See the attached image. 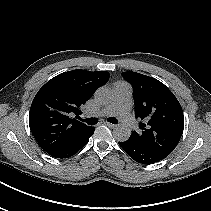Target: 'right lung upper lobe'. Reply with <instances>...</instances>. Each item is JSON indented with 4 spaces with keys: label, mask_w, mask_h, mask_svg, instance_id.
Listing matches in <instances>:
<instances>
[{
    "label": "right lung upper lobe",
    "mask_w": 211,
    "mask_h": 211,
    "mask_svg": "<svg viewBox=\"0 0 211 211\" xmlns=\"http://www.w3.org/2000/svg\"><path fill=\"white\" fill-rule=\"evenodd\" d=\"M108 79L107 71L77 69L53 77L38 91L30 108L29 126L45 152L59 151L91 129L76 118L80 107Z\"/></svg>",
    "instance_id": "obj_1"
}]
</instances>
